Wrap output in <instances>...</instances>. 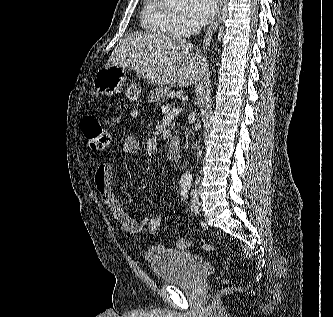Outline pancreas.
Returning <instances> with one entry per match:
<instances>
[{
  "label": "pancreas",
  "instance_id": "1",
  "mask_svg": "<svg viewBox=\"0 0 333 317\" xmlns=\"http://www.w3.org/2000/svg\"><path fill=\"white\" fill-rule=\"evenodd\" d=\"M168 97V88H155L150 91L148 96V103H155L156 106H159L160 103L164 102ZM168 138H171V132L168 130Z\"/></svg>",
  "mask_w": 333,
  "mask_h": 317
}]
</instances>
